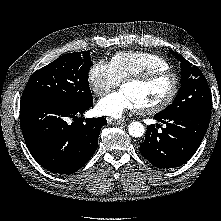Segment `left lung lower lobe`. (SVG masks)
Here are the masks:
<instances>
[{"instance_id": "0a47b994", "label": "left lung lower lobe", "mask_w": 221, "mask_h": 221, "mask_svg": "<svg viewBox=\"0 0 221 221\" xmlns=\"http://www.w3.org/2000/svg\"><path fill=\"white\" fill-rule=\"evenodd\" d=\"M211 111L192 110L176 114H156L154 118L166 124L162 132L149 125L140 152L158 168L168 169L187 162L199 148L207 131Z\"/></svg>"}]
</instances>
